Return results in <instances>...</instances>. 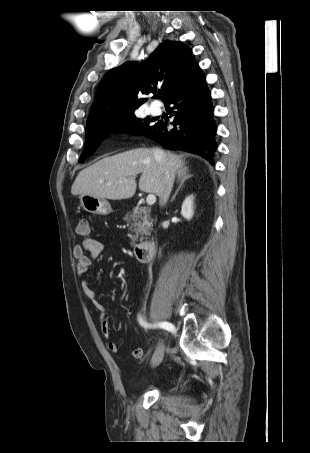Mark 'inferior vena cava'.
Listing matches in <instances>:
<instances>
[{
  "instance_id": "602c4592",
  "label": "inferior vena cava",
  "mask_w": 310,
  "mask_h": 453,
  "mask_svg": "<svg viewBox=\"0 0 310 453\" xmlns=\"http://www.w3.org/2000/svg\"><path fill=\"white\" fill-rule=\"evenodd\" d=\"M153 156L155 160L160 164V166H162V168L164 169V180L159 196V203L161 206H164L169 199L173 187L174 171L171 163L168 161L165 153L162 150L157 148L153 149Z\"/></svg>"
}]
</instances>
